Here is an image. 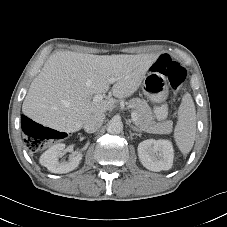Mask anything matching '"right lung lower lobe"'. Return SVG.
Instances as JSON below:
<instances>
[{"label":"right lung lower lobe","mask_w":227,"mask_h":227,"mask_svg":"<svg viewBox=\"0 0 227 227\" xmlns=\"http://www.w3.org/2000/svg\"><path fill=\"white\" fill-rule=\"evenodd\" d=\"M34 123L32 120L28 119L25 116H22L21 118V124H22V128L24 129L28 124Z\"/></svg>","instance_id":"right-lung-lower-lobe-1"}]
</instances>
